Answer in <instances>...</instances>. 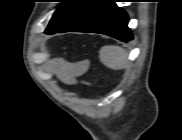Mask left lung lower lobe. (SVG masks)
Instances as JSON below:
<instances>
[{"instance_id": "left-lung-lower-lobe-1", "label": "left lung lower lobe", "mask_w": 182, "mask_h": 140, "mask_svg": "<svg viewBox=\"0 0 182 140\" xmlns=\"http://www.w3.org/2000/svg\"><path fill=\"white\" fill-rule=\"evenodd\" d=\"M127 24L124 10L117 7L114 0H107L66 32L100 33L127 42L133 39Z\"/></svg>"}]
</instances>
